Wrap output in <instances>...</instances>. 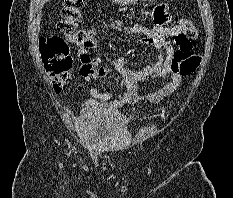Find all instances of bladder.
Wrapping results in <instances>:
<instances>
[{"instance_id":"1","label":"bladder","mask_w":233,"mask_h":198,"mask_svg":"<svg viewBox=\"0 0 233 198\" xmlns=\"http://www.w3.org/2000/svg\"><path fill=\"white\" fill-rule=\"evenodd\" d=\"M77 124L80 139L92 147L118 145L126 142L129 136L122 116L114 111L85 110Z\"/></svg>"}]
</instances>
